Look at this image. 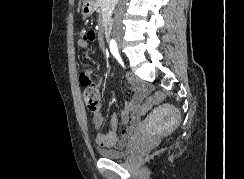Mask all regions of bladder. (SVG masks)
<instances>
[{
    "label": "bladder",
    "instance_id": "1",
    "mask_svg": "<svg viewBox=\"0 0 244 179\" xmlns=\"http://www.w3.org/2000/svg\"><path fill=\"white\" fill-rule=\"evenodd\" d=\"M128 153V151H116V150H110V149H99L98 150V154L101 155L104 158H113V159H117V158H121L126 156V154Z\"/></svg>",
    "mask_w": 244,
    "mask_h": 179
}]
</instances>
